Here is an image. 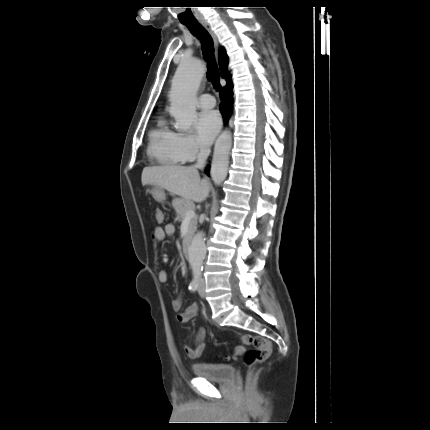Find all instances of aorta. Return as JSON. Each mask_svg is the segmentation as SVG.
Masks as SVG:
<instances>
[{"label":"aorta","mask_w":430,"mask_h":430,"mask_svg":"<svg viewBox=\"0 0 430 430\" xmlns=\"http://www.w3.org/2000/svg\"><path fill=\"white\" fill-rule=\"evenodd\" d=\"M204 64L197 59H185L178 66L169 92L170 114L175 128L187 131L197 118L196 94L204 75ZM232 137L229 131L222 132L216 140L210 175L216 184H221L228 172ZM206 255L205 235L198 232L189 247L188 261L194 273H199Z\"/></svg>","instance_id":"obj_1"}]
</instances>
